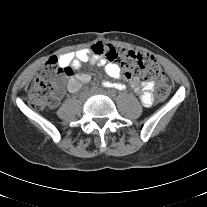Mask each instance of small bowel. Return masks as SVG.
Wrapping results in <instances>:
<instances>
[{
	"instance_id": "c3829d8e",
	"label": "small bowel",
	"mask_w": 207,
	"mask_h": 207,
	"mask_svg": "<svg viewBox=\"0 0 207 207\" xmlns=\"http://www.w3.org/2000/svg\"><path fill=\"white\" fill-rule=\"evenodd\" d=\"M101 43V42H100ZM97 44V43H96ZM59 64L63 67H70L73 74L70 76L67 83V90L70 93L77 92L82 86L90 81V75L85 72L74 74V71H80L84 64L98 65L104 68L107 76L113 79H118L123 76L120 67L113 62L108 61L103 55H99L92 50L80 49L76 52H67L58 56ZM134 89L141 94V102L144 106H150L153 103V84L151 82H140L137 78H129ZM128 82H112L105 78L100 79V87L111 91H125L131 89Z\"/></svg>"
}]
</instances>
